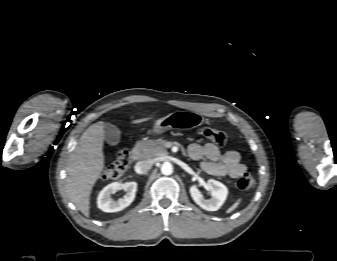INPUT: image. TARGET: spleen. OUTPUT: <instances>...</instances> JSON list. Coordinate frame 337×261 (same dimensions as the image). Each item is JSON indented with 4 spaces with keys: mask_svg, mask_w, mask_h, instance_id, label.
I'll return each mask as SVG.
<instances>
[{
    "mask_svg": "<svg viewBox=\"0 0 337 261\" xmlns=\"http://www.w3.org/2000/svg\"><path fill=\"white\" fill-rule=\"evenodd\" d=\"M240 202H241V199H238L228 210H227V213H230V212H232L233 210H235L237 207H238V205L240 204Z\"/></svg>",
    "mask_w": 337,
    "mask_h": 261,
    "instance_id": "3e777b00",
    "label": "spleen"
}]
</instances>
